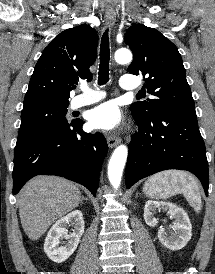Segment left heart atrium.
Listing matches in <instances>:
<instances>
[{
    "label": "left heart atrium",
    "instance_id": "39dd6f15",
    "mask_svg": "<svg viewBox=\"0 0 215 274\" xmlns=\"http://www.w3.org/2000/svg\"><path fill=\"white\" fill-rule=\"evenodd\" d=\"M88 120L92 128L113 131L120 127L122 114L114 102H105L90 111Z\"/></svg>",
    "mask_w": 215,
    "mask_h": 274
}]
</instances>
